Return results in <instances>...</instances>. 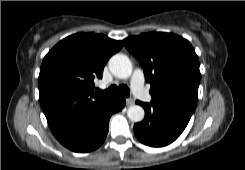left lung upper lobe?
Returning a JSON list of instances; mask_svg holds the SVG:
<instances>
[{
    "mask_svg": "<svg viewBox=\"0 0 245 170\" xmlns=\"http://www.w3.org/2000/svg\"><path fill=\"white\" fill-rule=\"evenodd\" d=\"M123 43L144 70L151 102L192 115L200 71L190 42L172 33L152 32L128 37Z\"/></svg>",
    "mask_w": 245,
    "mask_h": 170,
    "instance_id": "left-lung-upper-lobe-1",
    "label": "left lung upper lobe"
}]
</instances>
